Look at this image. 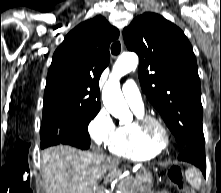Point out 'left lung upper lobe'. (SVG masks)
I'll list each match as a JSON object with an SVG mask.
<instances>
[{
    "label": "left lung upper lobe",
    "mask_w": 221,
    "mask_h": 193,
    "mask_svg": "<svg viewBox=\"0 0 221 193\" xmlns=\"http://www.w3.org/2000/svg\"><path fill=\"white\" fill-rule=\"evenodd\" d=\"M140 58L138 77L182 149L204 141L196 58L181 29L156 13L137 16L123 30Z\"/></svg>",
    "instance_id": "left-lung-upper-lobe-1"
}]
</instances>
